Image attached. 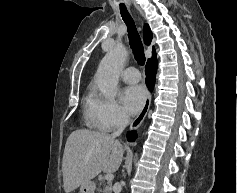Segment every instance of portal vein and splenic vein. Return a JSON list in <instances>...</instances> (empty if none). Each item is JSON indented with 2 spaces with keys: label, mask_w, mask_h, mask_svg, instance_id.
<instances>
[{
  "label": "portal vein and splenic vein",
  "mask_w": 237,
  "mask_h": 193,
  "mask_svg": "<svg viewBox=\"0 0 237 193\" xmlns=\"http://www.w3.org/2000/svg\"><path fill=\"white\" fill-rule=\"evenodd\" d=\"M113 178H114V176H113L112 173H107V174L105 175V179H106L107 181H112Z\"/></svg>",
  "instance_id": "obj_1"
}]
</instances>
